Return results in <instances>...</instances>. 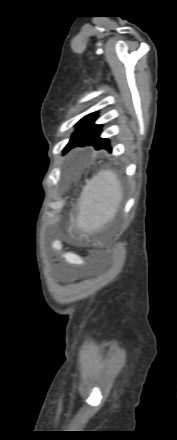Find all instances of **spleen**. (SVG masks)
<instances>
[{"label": "spleen", "instance_id": "obj_1", "mask_svg": "<svg viewBox=\"0 0 177 440\" xmlns=\"http://www.w3.org/2000/svg\"><path fill=\"white\" fill-rule=\"evenodd\" d=\"M122 188L113 171L104 170L87 183L79 200L76 227L85 232L99 230L117 212Z\"/></svg>", "mask_w": 177, "mask_h": 440}]
</instances>
